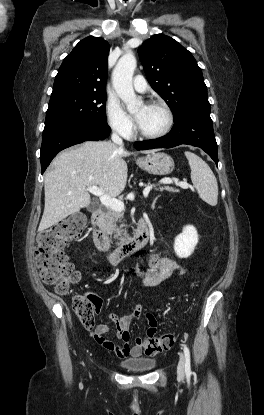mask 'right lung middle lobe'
<instances>
[{"mask_svg": "<svg viewBox=\"0 0 264 415\" xmlns=\"http://www.w3.org/2000/svg\"><path fill=\"white\" fill-rule=\"evenodd\" d=\"M106 92H64L51 95L45 128L78 121L107 122Z\"/></svg>", "mask_w": 264, "mask_h": 415, "instance_id": "right-lung-middle-lobe-1", "label": "right lung middle lobe"}]
</instances>
